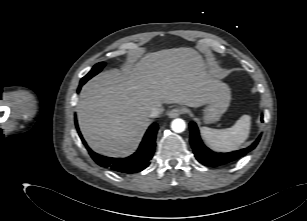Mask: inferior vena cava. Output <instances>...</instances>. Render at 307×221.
Instances as JSON below:
<instances>
[{
	"mask_svg": "<svg viewBox=\"0 0 307 221\" xmlns=\"http://www.w3.org/2000/svg\"><path fill=\"white\" fill-rule=\"evenodd\" d=\"M160 109L159 108H153L150 112V117L154 118V117H158L160 115Z\"/></svg>",
	"mask_w": 307,
	"mask_h": 221,
	"instance_id": "inferior-vena-cava-1",
	"label": "inferior vena cava"
}]
</instances>
